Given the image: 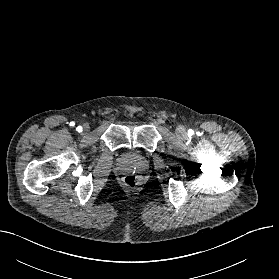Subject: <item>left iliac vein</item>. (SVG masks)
I'll return each instance as SVG.
<instances>
[{
    "mask_svg": "<svg viewBox=\"0 0 279 279\" xmlns=\"http://www.w3.org/2000/svg\"><path fill=\"white\" fill-rule=\"evenodd\" d=\"M176 135L182 139L187 137V131L183 126H178L176 129Z\"/></svg>",
    "mask_w": 279,
    "mask_h": 279,
    "instance_id": "left-iliac-vein-1",
    "label": "left iliac vein"
}]
</instances>
